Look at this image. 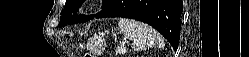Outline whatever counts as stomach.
<instances>
[{"label": "stomach", "mask_w": 249, "mask_h": 57, "mask_svg": "<svg viewBox=\"0 0 249 57\" xmlns=\"http://www.w3.org/2000/svg\"><path fill=\"white\" fill-rule=\"evenodd\" d=\"M106 47V40L104 36H94L88 41V48L96 55L103 53ZM98 57V56H96Z\"/></svg>", "instance_id": "1"}]
</instances>
